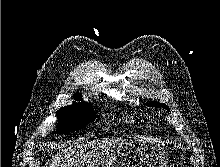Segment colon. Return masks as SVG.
Returning a JSON list of instances; mask_svg holds the SVG:
<instances>
[{"label":"colon","instance_id":"5ec220e1","mask_svg":"<svg viewBox=\"0 0 220 167\" xmlns=\"http://www.w3.org/2000/svg\"><path fill=\"white\" fill-rule=\"evenodd\" d=\"M169 167H179V166H178V165H173V164H172V165H170Z\"/></svg>","mask_w":220,"mask_h":167}]
</instances>
